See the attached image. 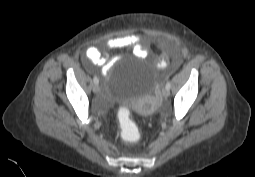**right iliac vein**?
<instances>
[{"instance_id": "63e3f726", "label": "right iliac vein", "mask_w": 255, "mask_h": 177, "mask_svg": "<svg viewBox=\"0 0 255 177\" xmlns=\"http://www.w3.org/2000/svg\"><path fill=\"white\" fill-rule=\"evenodd\" d=\"M99 90H100L99 85H98V84H94V86H93V92H94L95 94H97V93L99 92Z\"/></svg>"}]
</instances>
